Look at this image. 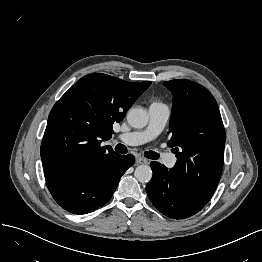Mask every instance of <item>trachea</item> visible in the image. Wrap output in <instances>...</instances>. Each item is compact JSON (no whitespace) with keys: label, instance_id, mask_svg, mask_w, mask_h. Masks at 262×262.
Listing matches in <instances>:
<instances>
[{"label":"trachea","instance_id":"3493384b","mask_svg":"<svg viewBox=\"0 0 262 262\" xmlns=\"http://www.w3.org/2000/svg\"><path fill=\"white\" fill-rule=\"evenodd\" d=\"M115 151L116 152H119V153H122V154H126L127 153V148L126 146L122 145V144H117L115 146ZM144 156L146 158H149V159H158L159 158V155L158 153L154 152V151H146L144 153Z\"/></svg>","mask_w":262,"mask_h":262}]
</instances>
